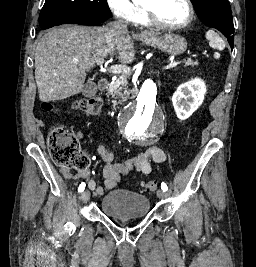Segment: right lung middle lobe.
I'll use <instances>...</instances> for the list:
<instances>
[{
  "instance_id": "right-lung-middle-lobe-1",
  "label": "right lung middle lobe",
  "mask_w": 256,
  "mask_h": 267,
  "mask_svg": "<svg viewBox=\"0 0 256 267\" xmlns=\"http://www.w3.org/2000/svg\"><path fill=\"white\" fill-rule=\"evenodd\" d=\"M112 16L107 0H46L39 16L41 28L60 20L90 18L106 20Z\"/></svg>"
}]
</instances>
